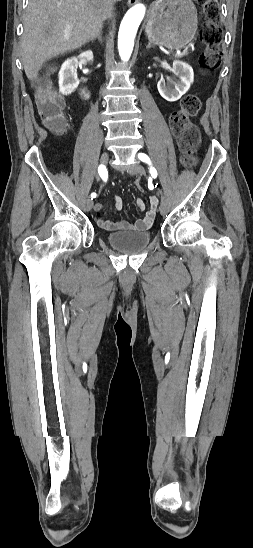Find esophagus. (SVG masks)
Masks as SVG:
<instances>
[{"mask_svg": "<svg viewBox=\"0 0 253 548\" xmlns=\"http://www.w3.org/2000/svg\"><path fill=\"white\" fill-rule=\"evenodd\" d=\"M139 0H127L129 6L135 5Z\"/></svg>", "mask_w": 253, "mask_h": 548, "instance_id": "34e87169", "label": "esophagus"}]
</instances>
